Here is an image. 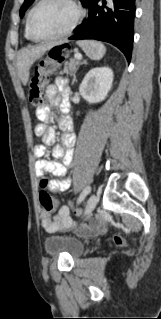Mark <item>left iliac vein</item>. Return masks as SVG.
I'll use <instances>...</instances> for the list:
<instances>
[{
  "instance_id": "1",
  "label": "left iliac vein",
  "mask_w": 161,
  "mask_h": 319,
  "mask_svg": "<svg viewBox=\"0 0 161 319\" xmlns=\"http://www.w3.org/2000/svg\"><path fill=\"white\" fill-rule=\"evenodd\" d=\"M98 202V198L95 194L91 195L86 203L84 216L89 215L95 209Z\"/></svg>"
}]
</instances>
